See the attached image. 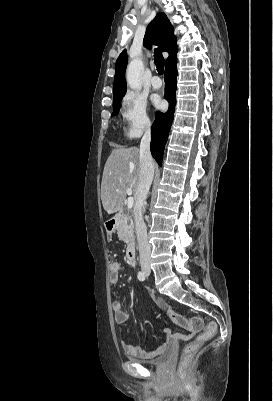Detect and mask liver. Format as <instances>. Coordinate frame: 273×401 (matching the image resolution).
Masks as SVG:
<instances>
[{
    "label": "liver",
    "mask_w": 273,
    "mask_h": 401,
    "mask_svg": "<svg viewBox=\"0 0 273 401\" xmlns=\"http://www.w3.org/2000/svg\"><path fill=\"white\" fill-rule=\"evenodd\" d=\"M139 170V148H113L106 160L101 182V201L108 215L121 211L127 188H132L136 201Z\"/></svg>",
    "instance_id": "obj_1"
}]
</instances>
